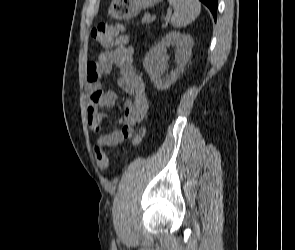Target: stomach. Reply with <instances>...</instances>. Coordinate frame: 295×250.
<instances>
[{
    "instance_id": "obj_1",
    "label": "stomach",
    "mask_w": 295,
    "mask_h": 250,
    "mask_svg": "<svg viewBox=\"0 0 295 250\" xmlns=\"http://www.w3.org/2000/svg\"><path fill=\"white\" fill-rule=\"evenodd\" d=\"M162 0H112L108 14L116 19H130L141 10L152 7Z\"/></svg>"
}]
</instances>
